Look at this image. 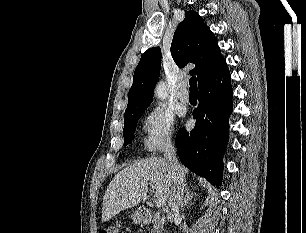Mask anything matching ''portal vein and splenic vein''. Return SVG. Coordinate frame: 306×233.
Wrapping results in <instances>:
<instances>
[{"label": "portal vein and splenic vein", "instance_id": "portal-vein-and-splenic-vein-1", "mask_svg": "<svg viewBox=\"0 0 306 233\" xmlns=\"http://www.w3.org/2000/svg\"><path fill=\"white\" fill-rule=\"evenodd\" d=\"M164 203H165V201L162 198L155 199V205L158 206V207L163 206Z\"/></svg>", "mask_w": 306, "mask_h": 233}]
</instances>
